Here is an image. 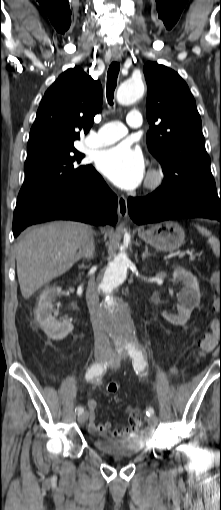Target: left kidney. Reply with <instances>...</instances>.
<instances>
[{
	"instance_id": "5707ae66",
	"label": "left kidney",
	"mask_w": 221,
	"mask_h": 510,
	"mask_svg": "<svg viewBox=\"0 0 221 510\" xmlns=\"http://www.w3.org/2000/svg\"><path fill=\"white\" fill-rule=\"evenodd\" d=\"M173 278L185 285V287L178 293L177 299L179 305L177 306L178 314L172 315L163 312L162 316L173 325H185L189 320L193 309L200 302V290L197 278L184 268L178 267L173 272Z\"/></svg>"
}]
</instances>
